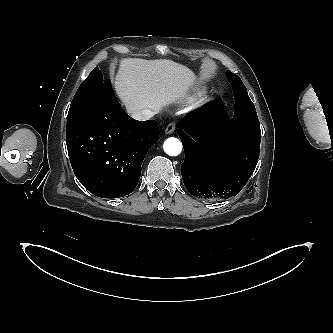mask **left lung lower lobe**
Returning a JSON list of instances; mask_svg holds the SVG:
<instances>
[{"label": "left lung lower lobe", "instance_id": "0a47b994", "mask_svg": "<svg viewBox=\"0 0 333 333\" xmlns=\"http://www.w3.org/2000/svg\"><path fill=\"white\" fill-rule=\"evenodd\" d=\"M243 122L228 120L222 102L214 113L197 119L200 111L188 114L184 131L178 134L185 160L181 173L185 187L193 195L207 200L236 196L254 172L259 158L260 125L252 108L237 101Z\"/></svg>", "mask_w": 333, "mask_h": 333}]
</instances>
